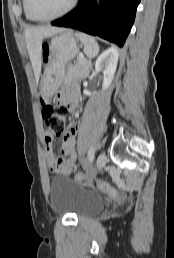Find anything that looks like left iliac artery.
I'll list each match as a JSON object with an SVG mask.
<instances>
[{"label":"left iliac artery","mask_w":174,"mask_h":258,"mask_svg":"<svg viewBox=\"0 0 174 258\" xmlns=\"http://www.w3.org/2000/svg\"><path fill=\"white\" fill-rule=\"evenodd\" d=\"M94 155H95L94 149H93V148H90V150H89V152H88V159H89L90 162L93 161Z\"/></svg>","instance_id":"left-iliac-artery-1"}]
</instances>
